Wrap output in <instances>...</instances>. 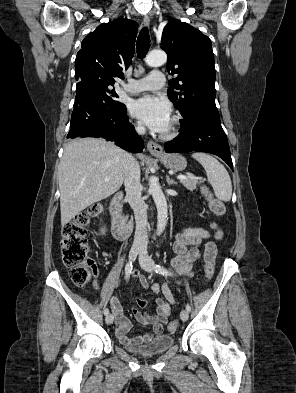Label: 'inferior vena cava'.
Masks as SVG:
<instances>
[{"mask_svg":"<svg viewBox=\"0 0 296 393\" xmlns=\"http://www.w3.org/2000/svg\"><path fill=\"white\" fill-rule=\"evenodd\" d=\"M138 134H144L146 129L142 125L136 127ZM124 166V185L126 198L134 211L136 221V231L133 246L146 249L147 236L146 229L148 225L146 204L141 196L140 184V167L136 159L129 153H126L123 161Z\"/></svg>","mask_w":296,"mask_h":393,"instance_id":"1","label":"inferior vena cava"}]
</instances>
